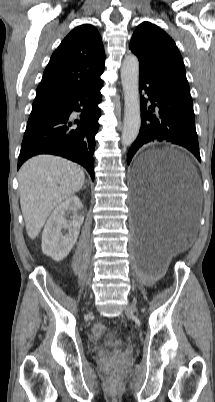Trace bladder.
I'll use <instances>...</instances> for the list:
<instances>
[{"instance_id":"obj_1","label":"bladder","mask_w":215,"mask_h":402,"mask_svg":"<svg viewBox=\"0 0 215 402\" xmlns=\"http://www.w3.org/2000/svg\"><path fill=\"white\" fill-rule=\"evenodd\" d=\"M109 347L118 348L124 346V341L122 340H109L105 343Z\"/></svg>"}]
</instances>
